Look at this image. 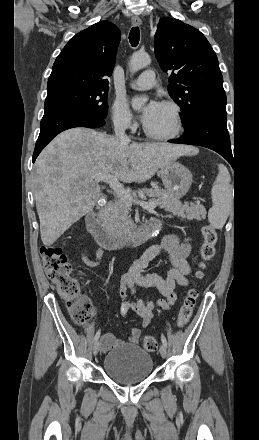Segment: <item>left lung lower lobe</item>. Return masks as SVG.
Returning <instances> with one entry per match:
<instances>
[{
	"instance_id": "1",
	"label": "left lung lower lobe",
	"mask_w": 259,
	"mask_h": 440,
	"mask_svg": "<svg viewBox=\"0 0 259 440\" xmlns=\"http://www.w3.org/2000/svg\"><path fill=\"white\" fill-rule=\"evenodd\" d=\"M226 121L227 114L225 113L203 112L185 127V132L181 137L170 142L209 148L222 155L232 165L233 156Z\"/></svg>"
}]
</instances>
